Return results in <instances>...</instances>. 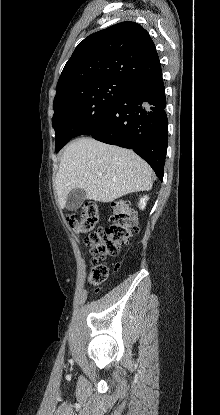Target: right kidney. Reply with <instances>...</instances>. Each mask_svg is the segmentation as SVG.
<instances>
[{
    "mask_svg": "<svg viewBox=\"0 0 220 415\" xmlns=\"http://www.w3.org/2000/svg\"><path fill=\"white\" fill-rule=\"evenodd\" d=\"M148 199H149L148 196H144L140 199V203H139L140 209L143 210L145 208L146 202H147Z\"/></svg>",
    "mask_w": 220,
    "mask_h": 415,
    "instance_id": "obj_1",
    "label": "right kidney"
}]
</instances>
